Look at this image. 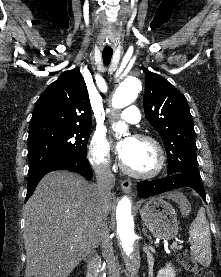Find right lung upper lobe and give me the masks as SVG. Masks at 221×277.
Segmentation results:
<instances>
[{
    "label": "right lung upper lobe",
    "mask_w": 221,
    "mask_h": 277,
    "mask_svg": "<svg viewBox=\"0 0 221 277\" xmlns=\"http://www.w3.org/2000/svg\"><path fill=\"white\" fill-rule=\"evenodd\" d=\"M91 125L87 87L78 68L65 71L37 100L29 126Z\"/></svg>",
    "instance_id": "cb5924a9"
}]
</instances>
